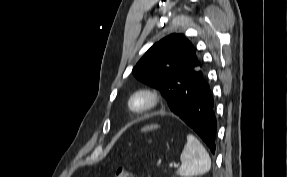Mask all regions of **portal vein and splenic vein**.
Listing matches in <instances>:
<instances>
[{
  "instance_id": "portal-vein-and-splenic-vein-1",
  "label": "portal vein and splenic vein",
  "mask_w": 287,
  "mask_h": 177,
  "mask_svg": "<svg viewBox=\"0 0 287 177\" xmlns=\"http://www.w3.org/2000/svg\"><path fill=\"white\" fill-rule=\"evenodd\" d=\"M176 166H178V165H175V164H172V163L169 164V167H170V168H174V167H176Z\"/></svg>"
}]
</instances>
